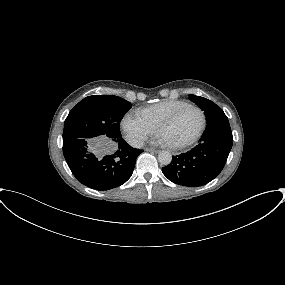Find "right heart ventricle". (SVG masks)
I'll use <instances>...</instances> for the list:
<instances>
[{
  "mask_svg": "<svg viewBox=\"0 0 285 285\" xmlns=\"http://www.w3.org/2000/svg\"><path fill=\"white\" fill-rule=\"evenodd\" d=\"M188 104L183 100H164L148 106L138 112V115L155 129L180 107Z\"/></svg>",
  "mask_w": 285,
  "mask_h": 285,
  "instance_id": "e07e8e85",
  "label": "right heart ventricle"
}]
</instances>
